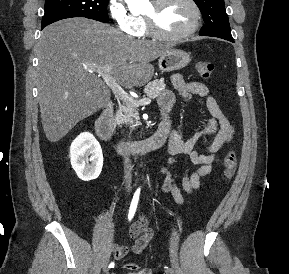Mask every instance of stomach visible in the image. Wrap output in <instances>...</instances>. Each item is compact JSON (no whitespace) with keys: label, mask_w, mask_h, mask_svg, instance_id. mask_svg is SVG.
Wrapping results in <instances>:
<instances>
[{"label":"stomach","mask_w":289,"mask_h":274,"mask_svg":"<svg viewBox=\"0 0 289 274\" xmlns=\"http://www.w3.org/2000/svg\"><path fill=\"white\" fill-rule=\"evenodd\" d=\"M190 62L189 55L179 49H170L161 55L158 60V67L163 72L179 70Z\"/></svg>","instance_id":"0dacf381"}]
</instances>
